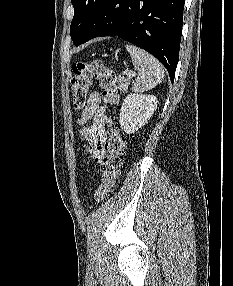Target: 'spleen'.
Listing matches in <instances>:
<instances>
[{
	"label": "spleen",
	"mask_w": 233,
	"mask_h": 286,
	"mask_svg": "<svg viewBox=\"0 0 233 286\" xmlns=\"http://www.w3.org/2000/svg\"><path fill=\"white\" fill-rule=\"evenodd\" d=\"M126 49L138 72V77L132 85V90L135 93L148 91L162 82L164 78V68L155 57L134 45L127 44Z\"/></svg>",
	"instance_id": "1"
}]
</instances>
